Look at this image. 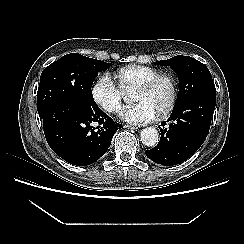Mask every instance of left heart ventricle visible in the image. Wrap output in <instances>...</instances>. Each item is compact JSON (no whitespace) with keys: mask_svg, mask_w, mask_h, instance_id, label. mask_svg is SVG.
Instances as JSON below:
<instances>
[{"mask_svg":"<svg viewBox=\"0 0 244 244\" xmlns=\"http://www.w3.org/2000/svg\"><path fill=\"white\" fill-rule=\"evenodd\" d=\"M171 94V86L168 80H161L157 85L148 92H135L132 101L135 104L145 103L149 105L157 114L163 110Z\"/></svg>","mask_w":244,"mask_h":244,"instance_id":"obj_1","label":"left heart ventricle"}]
</instances>
